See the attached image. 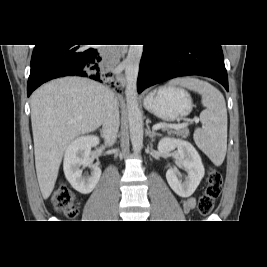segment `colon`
I'll use <instances>...</instances> for the list:
<instances>
[{
	"mask_svg": "<svg viewBox=\"0 0 267 267\" xmlns=\"http://www.w3.org/2000/svg\"><path fill=\"white\" fill-rule=\"evenodd\" d=\"M223 188V176L211 168L207 173V184L204 192L198 201V211L201 215H208L214 208L215 201ZM52 202L57 212L68 218H75L78 215V207L75 195L67 183H61L54 191Z\"/></svg>",
	"mask_w": 267,
	"mask_h": 267,
	"instance_id": "colon-1",
	"label": "colon"
}]
</instances>
